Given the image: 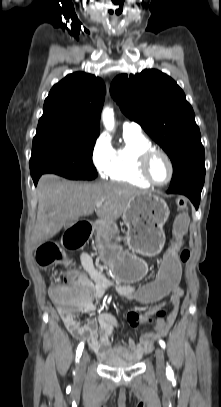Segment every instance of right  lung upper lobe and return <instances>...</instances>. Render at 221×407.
Wrapping results in <instances>:
<instances>
[{"mask_svg":"<svg viewBox=\"0 0 221 407\" xmlns=\"http://www.w3.org/2000/svg\"><path fill=\"white\" fill-rule=\"evenodd\" d=\"M105 92L104 82L94 75H67L45 99L37 132L65 131L98 137Z\"/></svg>","mask_w":221,"mask_h":407,"instance_id":"cb5924a9","label":"right lung upper lobe"}]
</instances>
